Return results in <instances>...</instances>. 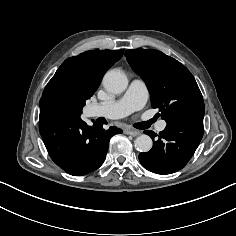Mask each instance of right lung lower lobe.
<instances>
[{"mask_svg":"<svg viewBox=\"0 0 236 236\" xmlns=\"http://www.w3.org/2000/svg\"><path fill=\"white\" fill-rule=\"evenodd\" d=\"M39 128L51 159L73 176L99 168L110 138L122 133L114 126L105 131L96 122L88 126L80 117L56 106L40 108Z\"/></svg>","mask_w":236,"mask_h":236,"instance_id":"right-lung-lower-lobe-1","label":"right lung lower lobe"}]
</instances>
